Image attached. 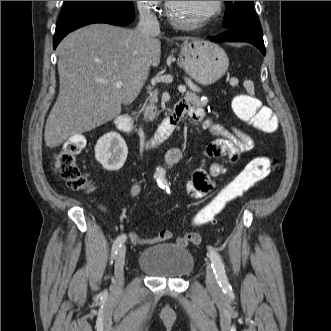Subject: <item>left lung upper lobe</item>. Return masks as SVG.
I'll return each mask as SVG.
<instances>
[{
    "mask_svg": "<svg viewBox=\"0 0 331 331\" xmlns=\"http://www.w3.org/2000/svg\"><path fill=\"white\" fill-rule=\"evenodd\" d=\"M254 1H225L227 12L223 26L226 29L259 23L254 8Z\"/></svg>",
    "mask_w": 331,
    "mask_h": 331,
    "instance_id": "left-lung-upper-lobe-1",
    "label": "left lung upper lobe"
}]
</instances>
